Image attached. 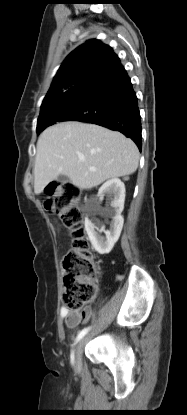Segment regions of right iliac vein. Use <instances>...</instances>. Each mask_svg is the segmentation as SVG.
I'll use <instances>...</instances> for the list:
<instances>
[{"label":"right iliac vein","mask_w":187,"mask_h":415,"mask_svg":"<svg viewBox=\"0 0 187 415\" xmlns=\"http://www.w3.org/2000/svg\"><path fill=\"white\" fill-rule=\"evenodd\" d=\"M87 341V337L82 338L75 350V355H74V363L76 366H80L81 361H82V354H83V347L85 345Z\"/></svg>","instance_id":"obj_1"}]
</instances>
